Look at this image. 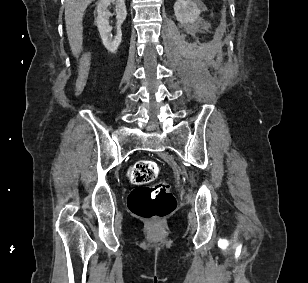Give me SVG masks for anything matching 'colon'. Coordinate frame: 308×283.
Wrapping results in <instances>:
<instances>
[{
	"label": "colon",
	"mask_w": 308,
	"mask_h": 283,
	"mask_svg": "<svg viewBox=\"0 0 308 283\" xmlns=\"http://www.w3.org/2000/svg\"><path fill=\"white\" fill-rule=\"evenodd\" d=\"M91 66V52L84 51L76 64L75 86L77 92L85 87ZM159 173L156 162L140 160L128 170L129 181L136 186L129 195L130 211L141 218L158 220L169 215L176 207V200L167 182H158L149 186Z\"/></svg>",
	"instance_id": "5ec220e1"
}]
</instances>
